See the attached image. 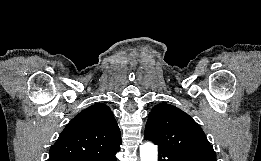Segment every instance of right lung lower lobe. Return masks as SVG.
<instances>
[{
    "instance_id": "98d812e1",
    "label": "right lung lower lobe",
    "mask_w": 261,
    "mask_h": 161,
    "mask_svg": "<svg viewBox=\"0 0 261 161\" xmlns=\"http://www.w3.org/2000/svg\"><path fill=\"white\" fill-rule=\"evenodd\" d=\"M118 151H119V149L109 151V152H106V153H102V154H99V155H96V156L80 158V159L75 160V161H117L115 154Z\"/></svg>"
}]
</instances>
